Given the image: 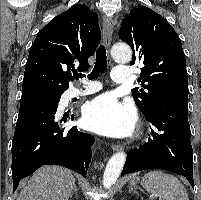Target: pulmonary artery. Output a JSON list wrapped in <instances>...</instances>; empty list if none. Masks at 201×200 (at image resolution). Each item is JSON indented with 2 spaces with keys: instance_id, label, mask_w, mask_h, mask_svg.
<instances>
[{
  "instance_id": "1",
  "label": "pulmonary artery",
  "mask_w": 201,
  "mask_h": 200,
  "mask_svg": "<svg viewBox=\"0 0 201 200\" xmlns=\"http://www.w3.org/2000/svg\"><path fill=\"white\" fill-rule=\"evenodd\" d=\"M130 75V68L124 65H118L115 67L112 73V79L116 83H125ZM100 90V86L96 83L90 82L84 90H80L78 88H71L67 92V96L69 98L79 97L94 93Z\"/></svg>"
}]
</instances>
